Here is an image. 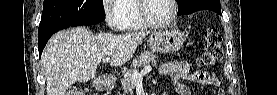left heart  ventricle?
<instances>
[{
  "mask_svg": "<svg viewBox=\"0 0 277 95\" xmlns=\"http://www.w3.org/2000/svg\"><path fill=\"white\" fill-rule=\"evenodd\" d=\"M145 13L154 20H166L172 13L170 0H148L145 6Z\"/></svg>",
  "mask_w": 277,
  "mask_h": 95,
  "instance_id": "b2bd125f",
  "label": "left heart ventricle"
}]
</instances>
